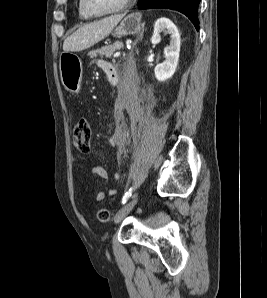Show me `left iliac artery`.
I'll return each instance as SVG.
<instances>
[{
  "label": "left iliac artery",
  "mask_w": 267,
  "mask_h": 298,
  "mask_svg": "<svg viewBox=\"0 0 267 298\" xmlns=\"http://www.w3.org/2000/svg\"><path fill=\"white\" fill-rule=\"evenodd\" d=\"M133 188H130L122 198V204H125L132 195Z\"/></svg>",
  "instance_id": "44dca946"
}]
</instances>
